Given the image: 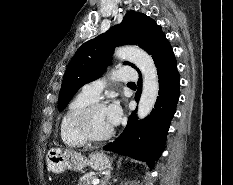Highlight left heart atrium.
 Wrapping results in <instances>:
<instances>
[{"label": "left heart atrium", "mask_w": 233, "mask_h": 185, "mask_svg": "<svg viewBox=\"0 0 233 185\" xmlns=\"http://www.w3.org/2000/svg\"><path fill=\"white\" fill-rule=\"evenodd\" d=\"M106 113L112 127L119 123L122 116V110L118 102L114 101L106 107Z\"/></svg>", "instance_id": "1"}]
</instances>
